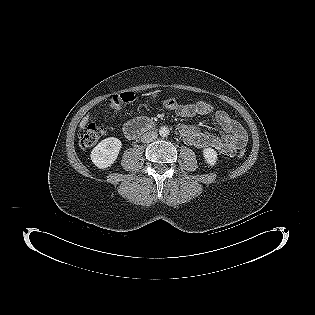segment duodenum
Here are the masks:
<instances>
[{"label":"duodenum","mask_w":315,"mask_h":315,"mask_svg":"<svg viewBox=\"0 0 315 315\" xmlns=\"http://www.w3.org/2000/svg\"><path fill=\"white\" fill-rule=\"evenodd\" d=\"M153 128V123L147 118H138L128 122L123 127V133L128 139H135L140 134Z\"/></svg>","instance_id":"duodenum-1"}]
</instances>
